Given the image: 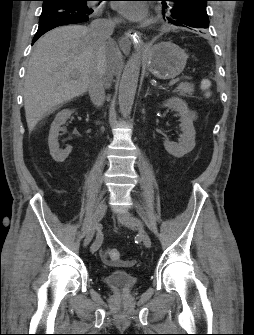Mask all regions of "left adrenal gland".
<instances>
[{
  "label": "left adrenal gland",
  "instance_id": "left-adrenal-gland-1",
  "mask_svg": "<svg viewBox=\"0 0 254 335\" xmlns=\"http://www.w3.org/2000/svg\"><path fill=\"white\" fill-rule=\"evenodd\" d=\"M148 95H150V93H149V87L147 88V91H146V94H145V98L148 96Z\"/></svg>",
  "mask_w": 254,
  "mask_h": 335
}]
</instances>
